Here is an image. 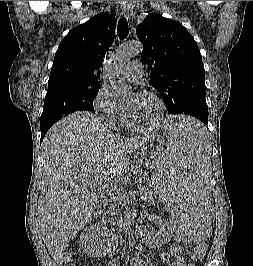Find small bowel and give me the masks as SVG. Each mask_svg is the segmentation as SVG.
Returning <instances> with one entry per match:
<instances>
[{"mask_svg":"<svg viewBox=\"0 0 253 266\" xmlns=\"http://www.w3.org/2000/svg\"><path fill=\"white\" fill-rule=\"evenodd\" d=\"M161 258L168 264V266H193L184 263L181 257V248L173 247L170 252L161 253ZM130 266H148V264L140 258H135L131 262Z\"/></svg>","mask_w":253,"mask_h":266,"instance_id":"obj_1","label":"small bowel"}]
</instances>
